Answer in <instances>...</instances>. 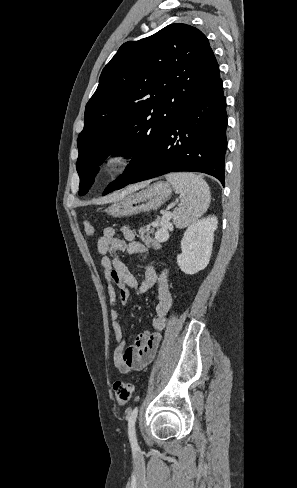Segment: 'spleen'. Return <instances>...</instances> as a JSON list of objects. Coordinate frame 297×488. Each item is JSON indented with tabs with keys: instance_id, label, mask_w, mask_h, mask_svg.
Returning a JSON list of instances; mask_svg holds the SVG:
<instances>
[{
	"instance_id": "1",
	"label": "spleen",
	"mask_w": 297,
	"mask_h": 488,
	"mask_svg": "<svg viewBox=\"0 0 297 488\" xmlns=\"http://www.w3.org/2000/svg\"><path fill=\"white\" fill-rule=\"evenodd\" d=\"M166 179L180 194V203L173 212L174 224L185 227L205 213L210 205L208 184L198 175L192 173H170Z\"/></svg>"
}]
</instances>
